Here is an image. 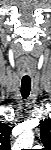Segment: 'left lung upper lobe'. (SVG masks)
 Wrapping results in <instances>:
<instances>
[{"label":"left lung upper lobe","instance_id":"left-lung-upper-lobe-1","mask_svg":"<svg viewBox=\"0 0 51 150\" xmlns=\"http://www.w3.org/2000/svg\"><path fill=\"white\" fill-rule=\"evenodd\" d=\"M40 136L45 148L51 147V120L47 119L40 123Z\"/></svg>","mask_w":51,"mask_h":150}]
</instances>
